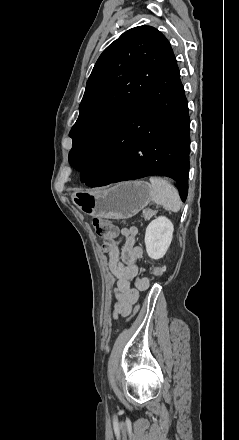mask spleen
Masks as SVG:
<instances>
[{
  "label": "spleen",
  "instance_id": "obj_1",
  "mask_svg": "<svg viewBox=\"0 0 239 440\" xmlns=\"http://www.w3.org/2000/svg\"><path fill=\"white\" fill-rule=\"evenodd\" d=\"M150 182L153 188L152 200L155 204H160L169 212H179L182 202L178 190L164 178H150Z\"/></svg>",
  "mask_w": 239,
  "mask_h": 440
}]
</instances>
